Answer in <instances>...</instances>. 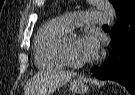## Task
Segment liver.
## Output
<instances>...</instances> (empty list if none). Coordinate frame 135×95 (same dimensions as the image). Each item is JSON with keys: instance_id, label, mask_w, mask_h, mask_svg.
<instances>
[{"instance_id": "1", "label": "liver", "mask_w": 135, "mask_h": 95, "mask_svg": "<svg viewBox=\"0 0 135 95\" xmlns=\"http://www.w3.org/2000/svg\"><path fill=\"white\" fill-rule=\"evenodd\" d=\"M75 74L61 70H46L37 73L25 86V95H50L65 85Z\"/></svg>"}]
</instances>
